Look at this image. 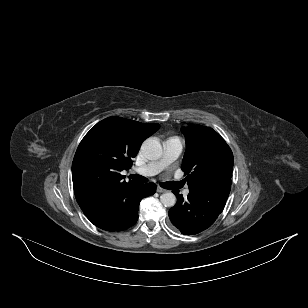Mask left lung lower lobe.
I'll use <instances>...</instances> for the list:
<instances>
[{"label":"left lung lower lobe","mask_w":308,"mask_h":308,"mask_svg":"<svg viewBox=\"0 0 308 308\" xmlns=\"http://www.w3.org/2000/svg\"><path fill=\"white\" fill-rule=\"evenodd\" d=\"M230 189L231 179H221L190 189L186 200L174 190L177 203L169 210L172 224L186 235L207 229L223 211Z\"/></svg>","instance_id":"1"}]
</instances>
